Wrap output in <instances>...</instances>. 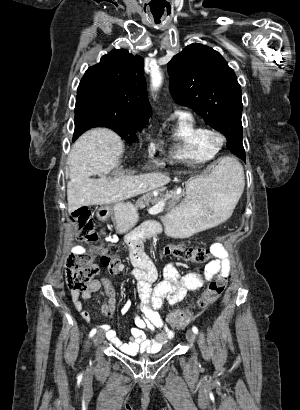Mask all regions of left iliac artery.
Segmentation results:
<instances>
[{
    "label": "left iliac artery",
    "mask_w": 300,
    "mask_h": 410,
    "mask_svg": "<svg viewBox=\"0 0 300 410\" xmlns=\"http://www.w3.org/2000/svg\"><path fill=\"white\" fill-rule=\"evenodd\" d=\"M192 331H193L195 334H198V328H197L196 326H193V327H192Z\"/></svg>",
    "instance_id": "1"
}]
</instances>
